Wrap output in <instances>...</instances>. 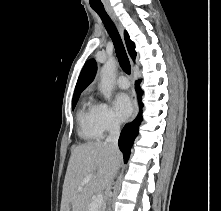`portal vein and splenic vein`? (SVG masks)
<instances>
[{
	"instance_id": "18ae733b",
	"label": "portal vein and splenic vein",
	"mask_w": 221,
	"mask_h": 211,
	"mask_svg": "<svg viewBox=\"0 0 221 211\" xmlns=\"http://www.w3.org/2000/svg\"><path fill=\"white\" fill-rule=\"evenodd\" d=\"M91 178H92L91 176H87L86 178H84L81 181L79 189H82V187L85 184H87L91 180ZM102 203H103V195L101 194L96 195L90 203L89 210L97 211V209L101 207Z\"/></svg>"
}]
</instances>
